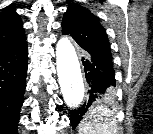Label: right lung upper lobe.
Listing matches in <instances>:
<instances>
[{
    "mask_svg": "<svg viewBox=\"0 0 153 134\" xmlns=\"http://www.w3.org/2000/svg\"><path fill=\"white\" fill-rule=\"evenodd\" d=\"M26 41L23 23L14 9L0 14V54L13 49Z\"/></svg>",
    "mask_w": 153,
    "mask_h": 134,
    "instance_id": "right-lung-upper-lobe-1",
    "label": "right lung upper lobe"
}]
</instances>
